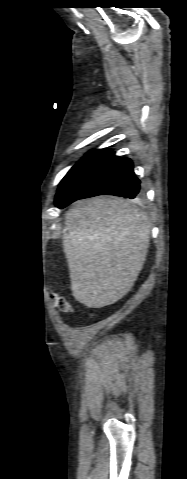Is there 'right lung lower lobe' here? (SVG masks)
<instances>
[{"instance_id": "1", "label": "right lung lower lobe", "mask_w": 187, "mask_h": 479, "mask_svg": "<svg viewBox=\"0 0 187 479\" xmlns=\"http://www.w3.org/2000/svg\"><path fill=\"white\" fill-rule=\"evenodd\" d=\"M140 190L132 161L110 153L74 181L56 200V206L64 208L78 199L103 194L134 199Z\"/></svg>"}]
</instances>
